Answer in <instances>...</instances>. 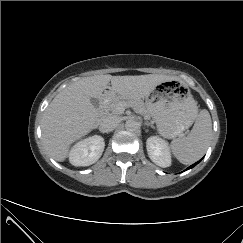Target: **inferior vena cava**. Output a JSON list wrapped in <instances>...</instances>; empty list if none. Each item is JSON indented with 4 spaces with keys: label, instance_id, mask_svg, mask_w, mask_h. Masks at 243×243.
Listing matches in <instances>:
<instances>
[{
    "label": "inferior vena cava",
    "instance_id": "obj_1",
    "mask_svg": "<svg viewBox=\"0 0 243 243\" xmlns=\"http://www.w3.org/2000/svg\"><path fill=\"white\" fill-rule=\"evenodd\" d=\"M119 123L120 120L117 116H106L100 123V130L106 133L111 132L119 125Z\"/></svg>",
    "mask_w": 243,
    "mask_h": 243
}]
</instances>
